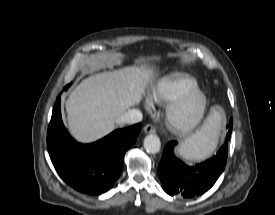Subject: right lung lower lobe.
<instances>
[{"mask_svg": "<svg viewBox=\"0 0 275 215\" xmlns=\"http://www.w3.org/2000/svg\"><path fill=\"white\" fill-rule=\"evenodd\" d=\"M60 95L47 132V148L59 176L75 190L89 195L108 191L119 177L126 151L134 144L141 124L118 129L92 144L77 143L65 129Z\"/></svg>", "mask_w": 275, "mask_h": 215, "instance_id": "1", "label": "right lung lower lobe"}]
</instances>
